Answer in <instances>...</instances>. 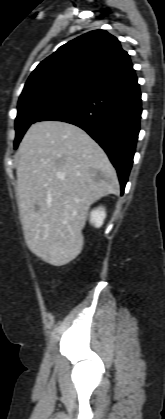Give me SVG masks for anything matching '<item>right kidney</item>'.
<instances>
[{"mask_svg":"<svg viewBox=\"0 0 165 419\" xmlns=\"http://www.w3.org/2000/svg\"><path fill=\"white\" fill-rule=\"evenodd\" d=\"M106 217V211L103 207H99L95 210H92L90 214V222L93 224L96 228H99L102 226L104 219Z\"/></svg>","mask_w":165,"mask_h":419,"instance_id":"ca27d5eb","label":"right kidney"}]
</instances>
